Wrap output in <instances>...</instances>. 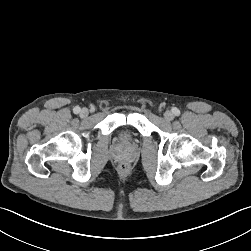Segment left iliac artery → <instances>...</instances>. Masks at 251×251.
Wrapping results in <instances>:
<instances>
[{"instance_id":"obj_1","label":"left iliac artery","mask_w":251,"mask_h":251,"mask_svg":"<svg viewBox=\"0 0 251 251\" xmlns=\"http://www.w3.org/2000/svg\"><path fill=\"white\" fill-rule=\"evenodd\" d=\"M173 113H174L175 115H179V114H180V111H179L177 108H174V109H173Z\"/></svg>"}]
</instances>
